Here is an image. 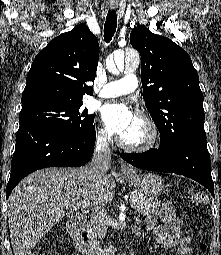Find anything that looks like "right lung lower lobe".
<instances>
[{"label": "right lung lower lobe", "mask_w": 221, "mask_h": 255, "mask_svg": "<svg viewBox=\"0 0 221 255\" xmlns=\"http://www.w3.org/2000/svg\"><path fill=\"white\" fill-rule=\"evenodd\" d=\"M95 139V128L86 134H68L46 126L20 125L6 198L25 176L36 170L84 165L93 155Z\"/></svg>", "instance_id": "1"}]
</instances>
